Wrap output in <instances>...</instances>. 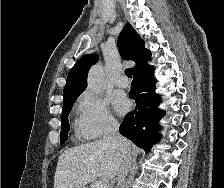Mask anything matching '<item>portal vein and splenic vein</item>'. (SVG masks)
Segmentation results:
<instances>
[{
  "label": "portal vein and splenic vein",
  "mask_w": 224,
  "mask_h": 188,
  "mask_svg": "<svg viewBox=\"0 0 224 188\" xmlns=\"http://www.w3.org/2000/svg\"><path fill=\"white\" fill-rule=\"evenodd\" d=\"M92 188H108V187L106 183H104L103 181H97L92 184Z\"/></svg>",
  "instance_id": "obj_1"
}]
</instances>
